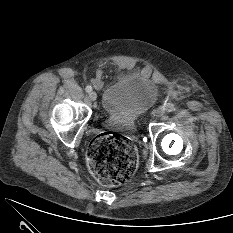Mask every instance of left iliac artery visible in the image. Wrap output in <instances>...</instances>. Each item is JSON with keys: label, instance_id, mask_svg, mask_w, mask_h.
<instances>
[{"label": "left iliac artery", "instance_id": "44dca946", "mask_svg": "<svg viewBox=\"0 0 233 233\" xmlns=\"http://www.w3.org/2000/svg\"><path fill=\"white\" fill-rule=\"evenodd\" d=\"M166 110H167V112H172V111L175 110V107H174V105L172 103H168L166 105Z\"/></svg>", "mask_w": 233, "mask_h": 233}]
</instances>
